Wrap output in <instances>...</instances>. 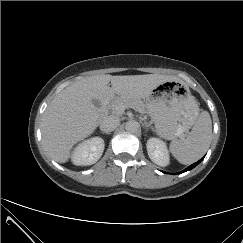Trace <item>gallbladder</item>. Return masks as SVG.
I'll list each match as a JSON object with an SVG mask.
<instances>
[{"label":"gallbladder","instance_id":"gallbladder-1","mask_svg":"<svg viewBox=\"0 0 243 243\" xmlns=\"http://www.w3.org/2000/svg\"><path fill=\"white\" fill-rule=\"evenodd\" d=\"M92 102H93V104H94L96 107L99 106V101H97V100H92Z\"/></svg>","mask_w":243,"mask_h":243}]
</instances>
